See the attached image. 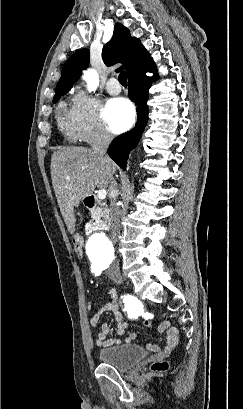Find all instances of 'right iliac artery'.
<instances>
[{
    "label": "right iliac artery",
    "mask_w": 243,
    "mask_h": 409,
    "mask_svg": "<svg viewBox=\"0 0 243 409\" xmlns=\"http://www.w3.org/2000/svg\"><path fill=\"white\" fill-rule=\"evenodd\" d=\"M92 272H93L96 276H99V275L101 274V272H102V269H100V268H95V269H92Z\"/></svg>",
    "instance_id": "82829eb1"
}]
</instances>
